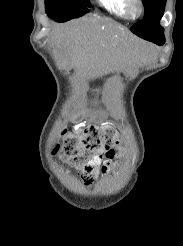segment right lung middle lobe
I'll return each mask as SVG.
<instances>
[{"instance_id": "obj_1", "label": "right lung middle lobe", "mask_w": 183, "mask_h": 246, "mask_svg": "<svg viewBox=\"0 0 183 246\" xmlns=\"http://www.w3.org/2000/svg\"><path fill=\"white\" fill-rule=\"evenodd\" d=\"M89 0H45L46 13L57 22H66L89 12Z\"/></svg>"}]
</instances>
